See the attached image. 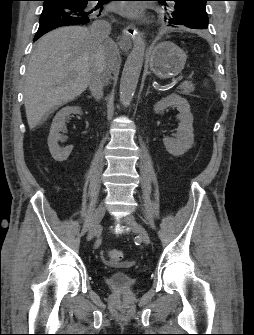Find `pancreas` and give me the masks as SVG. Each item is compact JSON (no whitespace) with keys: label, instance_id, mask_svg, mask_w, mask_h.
<instances>
[{"label":"pancreas","instance_id":"obj_1","mask_svg":"<svg viewBox=\"0 0 254 335\" xmlns=\"http://www.w3.org/2000/svg\"><path fill=\"white\" fill-rule=\"evenodd\" d=\"M179 89H181V93L183 95H191V93L194 91V84L190 81H185L181 83Z\"/></svg>","mask_w":254,"mask_h":335}]
</instances>
